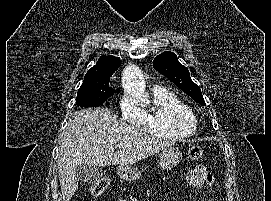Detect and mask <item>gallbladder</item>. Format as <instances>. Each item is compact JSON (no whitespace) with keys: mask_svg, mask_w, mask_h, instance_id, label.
I'll return each instance as SVG.
<instances>
[{"mask_svg":"<svg viewBox=\"0 0 271 201\" xmlns=\"http://www.w3.org/2000/svg\"><path fill=\"white\" fill-rule=\"evenodd\" d=\"M105 171L98 166L81 164L76 169V176L79 181L93 184L102 180Z\"/></svg>","mask_w":271,"mask_h":201,"instance_id":"1","label":"gallbladder"}]
</instances>
